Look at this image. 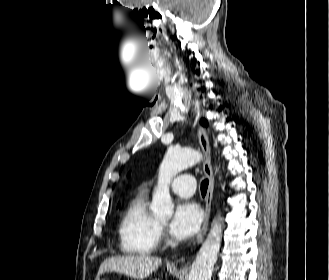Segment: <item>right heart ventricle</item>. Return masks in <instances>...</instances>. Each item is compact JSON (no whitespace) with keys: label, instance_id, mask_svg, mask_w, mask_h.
<instances>
[{"label":"right heart ventricle","instance_id":"obj_1","mask_svg":"<svg viewBox=\"0 0 329 280\" xmlns=\"http://www.w3.org/2000/svg\"><path fill=\"white\" fill-rule=\"evenodd\" d=\"M120 246L124 253L149 255L159 240V224L147 207V197L139 195L128 206L119 226Z\"/></svg>","mask_w":329,"mask_h":280}]
</instances>
